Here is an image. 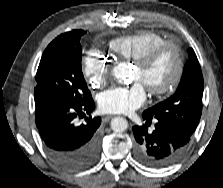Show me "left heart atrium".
Instances as JSON below:
<instances>
[{
	"label": "left heart atrium",
	"instance_id": "1",
	"mask_svg": "<svg viewBox=\"0 0 223 188\" xmlns=\"http://www.w3.org/2000/svg\"><path fill=\"white\" fill-rule=\"evenodd\" d=\"M146 89L139 81L128 87H112L98 95V107L107 114H127L144 104Z\"/></svg>",
	"mask_w": 223,
	"mask_h": 188
}]
</instances>
